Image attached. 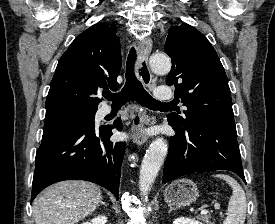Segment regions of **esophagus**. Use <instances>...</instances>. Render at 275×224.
I'll use <instances>...</instances> for the list:
<instances>
[{"instance_id":"esophagus-1","label":"esophagus","mask_w":275,"mask_h":224,"mask_svg":"<svg viewBox=\"0 0 275 224\" xmlns=\"http://www.w3.org/2000/svg\"><path fill=\"white\" fill-rule=\"evenodd\" d=\"M152 50V40L150 38H145L143 41L138 44V60L136 64L137 76L140 81L143 82L145 86H148L151 83V72L148 67V57ZM154 123V120H151L145 114L137 113L134 117V129L136 130L133 141L137 145H143L148 137L146 134V127Z\"/></svg>"}]
</instances>
